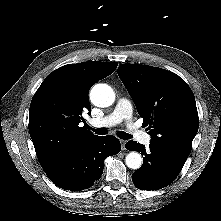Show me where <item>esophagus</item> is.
I'll use <instances>...</instances> for the list:
<instances>
[{"label": "esophagus", "instance_id": "1", "mask_svg": "<svg viewBox=\"0 0 221 221\" xmlns=\"http://www.w3.org/2000/svg\"><path fill=\"white\" fill-rule=\"evenodd\" d=\"M121 145H122V150H126V147H125L126 141L121 140Z\"/></svg>", "mask_w": 221, "mask_h": 221}]
</instances>
